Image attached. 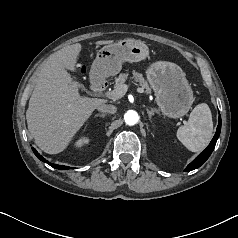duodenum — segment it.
Segmentation results:
<instances>
[{
    "label": "duodenum",
    "mask_w": 238,
    "mask_h": 238,
    "mask_svg": "<svg viewBox=\"0 0 238 238\" xmlns=\"http://www.w3.org/2000/svg\"><path fill=\"white\" fill-rule=\"evenodd\" d=\"M93 90L99 92L107 87V83L104 79L94 78L92 81Z\"/></svg>",
    "instance_id": "duodenum-1"
}]
</instances>
